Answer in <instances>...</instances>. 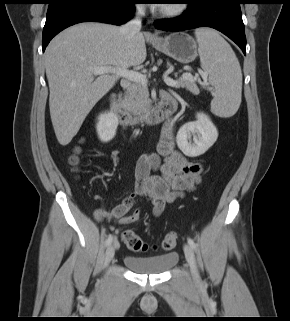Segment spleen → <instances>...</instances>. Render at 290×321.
<instances>
[{
	"mask_svg": "<svg viewBox=\"0 0 290 321\" xmlns=\"http://www.w3.org/2000/svg\"><path fill=\"white\" fill-rule=\"evenodd\" d=\"M202 69L209 75L214 88L212 112L220 117L233 116L240 104L242 72L231 46L220 34L210 28L195 31Z\"/></svg>",
	"mask_w": 290,
	"mask_h": 321,
	"instance_id": "spleen-1",
	"label": "spleen"
}]
</instances>
